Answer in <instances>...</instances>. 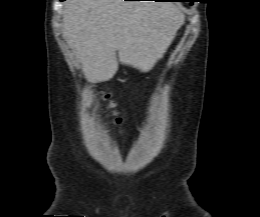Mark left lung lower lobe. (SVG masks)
<instances>
[{
	"mask_svg": "<svg viewBox=\"0 0 260 217\" xmlns=\"http://www.w3.org/2000/svg\"><path fill=\"white\" fill-rule=\"evenodd\" d=\"M156 1H171V0H156Z\"/></svg>",
	"mask_w": 260,
	"mask_h": 217,
	"instance_id": "left-lung-lower-lobe-1",
	"label": "left lung lower lobe"
}]
</instances>
